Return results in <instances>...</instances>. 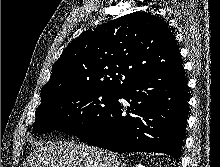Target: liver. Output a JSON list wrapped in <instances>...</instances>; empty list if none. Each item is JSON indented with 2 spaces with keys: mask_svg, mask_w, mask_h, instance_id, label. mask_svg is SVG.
Instances as JSON below:
<instances>
[{
  "mask_svg": "<svg viewBox=\"0 0 220 167\" xmlns=\"http://www.w3.org/2000/svg\"><path fill=\"white\" fill-rule=\"evenodd\" d=\"M23 167H120L117 154L73 142H40Z\"/></svg>",
  "mask_w": 220,
  "mask_h": 167,
  "instance_id": "1",
  "label": "liver"
}]
</instances>
